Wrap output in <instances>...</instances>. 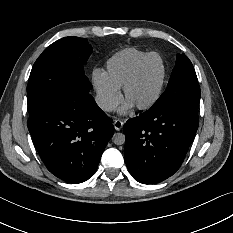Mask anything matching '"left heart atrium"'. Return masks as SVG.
<instances>
[{
	"instance_id": "1",
	"label": "left heart atrium",
	"mask_w": 233,
	"mask_h": 233,
	"mask_svg": "<svg viewBox=\"0 0 233 233\" xmlns=\"http://www.w3.org/2000/svg\"><path fill=\"white\" fill-rule=\"evenodd\" d=\"M136 107V105L130 100V99H126L122 106L118 109V113L120 115H126L128 112H130L131 110H133Z\"/></svg>"
}]
</instances>
